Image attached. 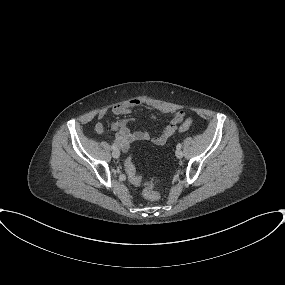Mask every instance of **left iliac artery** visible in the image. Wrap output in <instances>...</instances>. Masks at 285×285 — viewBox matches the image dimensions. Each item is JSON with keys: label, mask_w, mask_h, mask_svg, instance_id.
<instances>
[{"label": "left iliac artery", "mask_w": 285, "mask_h": 285, "mask_svg": "<svg viewBox=\"0 0 285 285\" xmlns=\"http://www.w3.org/2000/svg\"><path fill=\"white\" fill-rule=\"evenodd\" d=\"M181 147H182V144H181V143H178V144H177V149H181Z\"/></svg>", "instance_id": "44dca946"}]
</instances>
